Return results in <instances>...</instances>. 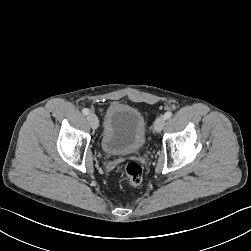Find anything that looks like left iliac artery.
<instances>
[{
    "label": "left iliac artery",
    "instance_id": "obj_1",
    "mask_svg": "<svg viewBox=\"0 0 251 251\" xmlns=\"http://www.w3.org/2000/svg\"><path fill=\"white\" fill-rule=\"evenodd\" d=\"M172 112H166L165 114H164V118L165 119H169V118H171L172 117Z\"/></svg>",
    "mask_w": 251,
    "mask_h": 251
}]
</instances>
